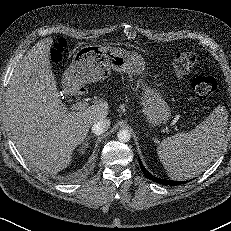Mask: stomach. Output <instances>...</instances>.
Returning a JSON list of instances; mask_svg holds the SVG:
<instances>
[{
  "label": "stomach",
  "instance_id": "stomach-1",
  "mask_svg": "<svg viewBox=\"0 0 231 231\" xmlns=\"http://www.w3.org/2000/svg\"><path fill=\"white\" fill-rule=\"evenodd\" d=\"M111 70L140 76L137 85L143 90L141 104L152 126H160L169 120L170 107L161 93L146 82V62L137 52L96 45L82 47L75 53L63 82L66 85L98 82L104 80Z\"/></svg>",
  "mask_w": 231,
  "mask_h": 231
}]
</instances>
